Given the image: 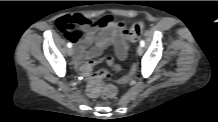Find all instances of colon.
Masks as SVG:
<instances>
[{
    "label": "colon",
    "instance_id": "5ec220e1",
    "mask_svg": "<svg viewBox=\"0 0 218 122\" xmlns=\"http://www.w3.org/2000/svg\"><path fill=\"white\" fill-rule=\"evenodd\" d=\"M57 25L59 29L66 33V35L72 40L80 37L81 32L79 29L75 28L71 20L68 17H63L58 20ZM144 29L143 22H135L128 32V38L130 41H136L141 35ZM105 65L110 70H115L117 68V63L115 62V55L113 53L103 54L98 53L96 57H92L87 62H84L77 69V76L80 78L87 77L89 79L87 85V93L92 97L103 95L107 98H112L116 95L117 89L115 86L104 84V80L108 79L110 74L108 70L102 69L97 72H93L96 66ZM136 65L132 66V70L128 71L125 76H118L117 82L123 84H132L135 77Z\"/></svg>",
    "mask_w": 218,
    "mask_h": 122
}]
</instances>
